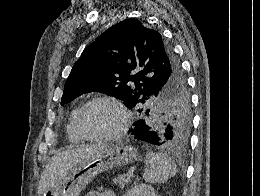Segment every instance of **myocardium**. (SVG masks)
Returning a JSON list of instances; mask_svg holds the SVG:
<instances>
[{
  "label": "myocardium",
  "mask_w": 260,
  "mask_h": 196,
  "mask_svg": "<svg viewBox=\"0 0 260 196\" xmlns=\"http://www.w3.org/2000/svg\"><path fill=\"white\" fill-rule=\"evenodd\" d=\"M98 102H105V103L115 106L118 109V111L120 112L121 118H122L121 125L118 129H116L112 133L102 135V136H94V135L87 134L81 124V116H82L83 112L89 106H91L94 103H98ZM130 124H131V117L128 112V109L118 98L111 96V95L93 96L92 98L87 100L85 103H83L79 107V109L76 112V116H75L76 129L78 130V132L80 133L81 137L84 140L91 141V142L102 143V142H109V141L119 139L126 134V132L128 131V129L130 127Z\"/></svg>",
  "instance_id": "f54148a6"
}]
</instances>
